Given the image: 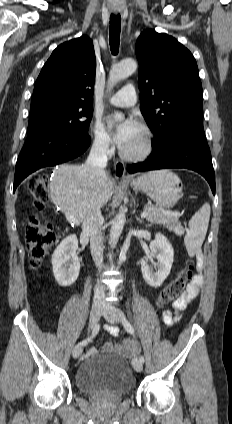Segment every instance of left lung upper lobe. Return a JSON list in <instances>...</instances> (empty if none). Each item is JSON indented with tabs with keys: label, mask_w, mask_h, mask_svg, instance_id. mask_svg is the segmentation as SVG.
Segmentation results:
<instances>
[{
	"label": "left lung upper lobe",
	"mask_w": 232,
	"mask_h": 424,
	"mask_svg": "<svg viewBox=\"0 0 232 424\" xmlns=\"http://www.w3.org/2000/svg\"><path fill=\"white\" fill-rule=\"evenodd\" d=\"M135 50L141 112L155 141L180 121L202 119V85L191 52L174 37L151 29L141 33Z\"/></svg>",
	"instance_id": "5c2ea615"
}]
</instances>
